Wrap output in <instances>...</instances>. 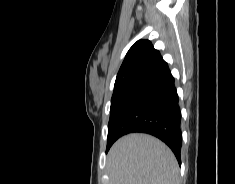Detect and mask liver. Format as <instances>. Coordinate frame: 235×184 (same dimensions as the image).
Returning a JSON list of instances; mask_svg holds the SVG:
<instances>
[{"mask_svg":"<svg viewBox=\"0 0 235 184\" xmlns=\"http://www.w3.org/2000/svg\"><path fill=\"white\" fill-rule=\"evenodd\" d=\"M110 184H180L170 148L148 134H128L107 156Z\"/></svg>","mask_w":235,"mask_h":184,"instance_id":"liver-1","label":"liver"}]
</instances>
